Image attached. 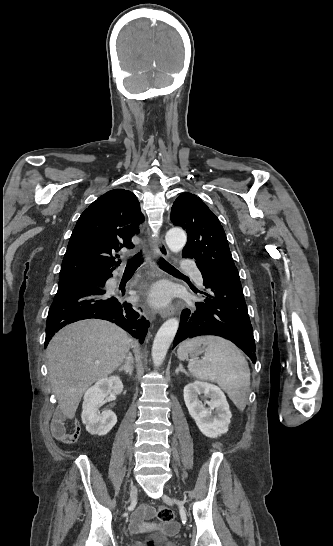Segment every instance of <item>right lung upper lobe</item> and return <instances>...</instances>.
I'll use <instances>...</instances> for the list:
<instances>
[{
  "mask_svg": "<svg viewBox=\"0 0 333 546\" xmlns=\"http://www.w3.org/2000/svg\"><path fill=\"white\" fill-rule=\"evenodd\" d=\"M144 216L136 196L124 189L108 191L79 217L64 255L60 280L110 275L121 263L112 255L133 248Z\"/></svg>",
  "mask_w": 333,
  "mask_h": 546,
  "instance_id": "right-lung-upper-lobe-1",
  "label": "right lung upper lobe"
}]
</instances>
